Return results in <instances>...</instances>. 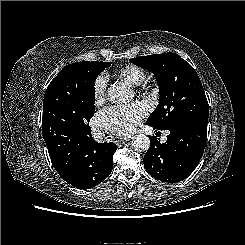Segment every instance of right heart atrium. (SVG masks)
<instances>
[{"label": "right heart atrium", "mask_w": 245, "mask_h": 245, "mask_svg": "<svg viewBox=\"0 0 245 245\" xmlns=\"http://www.w3.org/2000/svg\"><path fill=\"white\" fill-rule=\"evenodd\" d=\"M107 85L108 80L105 74H100L94 79L92 91L97 104L101 103L106 98Z\"/></svg>", "instance_id": "right-heart-atrium-1"}]
</instances>
